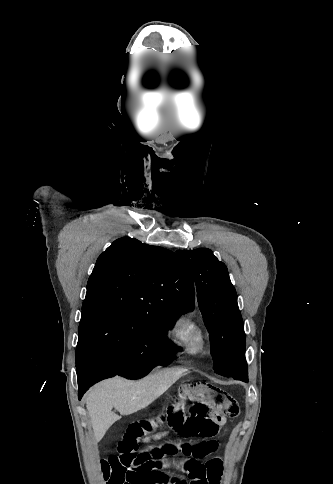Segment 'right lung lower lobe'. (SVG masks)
I'll return each mask as SVG.
<instances>
[{
    "mask_svg": "<svg viewBox=\"0 0 333 484\" xmlns=\"http://www.w3.org/2000/svg\"><path fill=\"white\" fill-rule=\"evenodd\" d=\"M117 374L104 360L94 359L77 371L78 397L81 399L86 390L94 383Z\"/></svg>",
    "mask_w": 333,
    "mask_h": 484,
    "instance_id": "obj_1",
    "label": "right lung lower lobe"
}]
</instances>
